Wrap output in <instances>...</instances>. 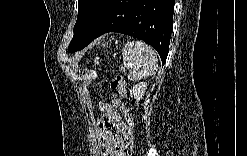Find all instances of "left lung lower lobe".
<instances>
[{"mask_svg":"<svg viewBox=\"0 0 247 156\" xmlns=\"http://www.w3.org/2000/svg\"><path fill=\"white\" fill-rule=\"evenodd\" d=\"M174 0H108L88 31L85 46L107 32L137 37L154 47L165 63L173 27Z\"/></svg>","mask_w":247,"mask_h":156,"instance_id":"left-lung-lower-lobe-1","label":"left lung lower lobe"}]
</instances>
